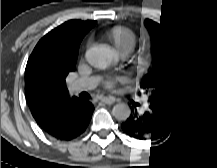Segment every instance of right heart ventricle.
Instances as JSON below:
<instances>
[{
  "mask_svg": "<svg viewBox=\"0 0 217 168\" xmlns=\"http://www.w3.org/2000/svg\"><path fill=\"white\" fill-rule=\"evenodd\" d=\"M108 35L117 47L126 49L131 46L132 37L121 28L112 29Z\"/></svg>",
  "mask_w": 217,
  "mask_h": 168,
  "instance_id": "1",
  "label": "right heart ventricle"
}]
</instances>
